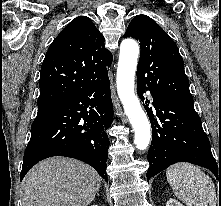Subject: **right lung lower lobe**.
Masks as SVG:
<instances>
[{"label": "right lung lower lobe", "instance_id": "obj_1", "mask_svg": "<svg viewBox=\"0 0 221 206\" xmlns=\"http://www.w3.org/2000/svg\"><path fill=\"white\" fill-rule=\"evenodd\" d=\"M113 106L108 75L80 93L38 108L31 126L20 181L39 161L67 156L91 165L108 182L106 174Z\"/></svg>", "mask_w": 221, "mask_h": 206}]
</instances>
